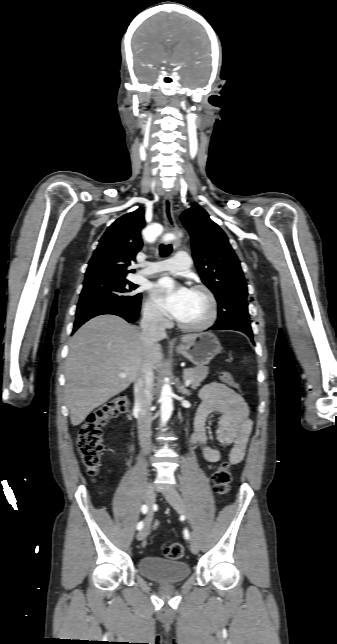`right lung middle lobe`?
Here are the masks:
<instances>
[{
  "label": "right lung middle lobe",
  "mask_w": 337,
  "mask_h": 644,
  "mask_svg": "<svg viewBox=\"0 0 337 644\" xmlns=\"http://www.w3.org/2000/svg\"><path fill=\"white\" fill-rule=\"evenodd\" d=\"M137 287L126 279L84 281L76 316L104 308L134 306L141 300L140 293H133Z\"/></svg>",
  "instance_id": "right-lung-middle-lobe-1"
}]
</instances>
